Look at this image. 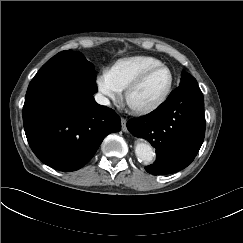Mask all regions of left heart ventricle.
I'll use <instances>...</instances> for the list:
<instances>
[{
    "instance_id": "obj_1",
    "label": "left heart ventricle",
    "mask_w": 243,
    "mask_h": 243,
    "mask_svg": "<svg viewBox=\"0 0 243 243\" xmlns=\"http://www.w3.org/2000/svg\"><path fill=\"white\" fill-rule=\"evenodd\" d=\"M168 82L169 73L166 69L155 70L132 93L131 103L135 106H144L154 102L164 93Z\"/></svg>"
}]
</instances>
